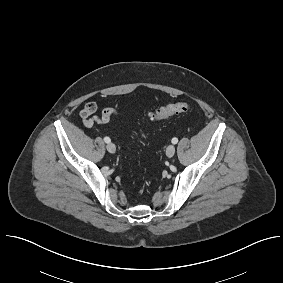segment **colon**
Returning <instances> with one entry per match:
<instances>
[{
    "label": "colon",
    "mask_w": 283,
    "mask_h": 283,
    "mask_svg": "<svg viewBox=\"0 0 283 283\" xmlns=\"http://www.w3.org/2000/svg\"><path fill=\"white\" fill-rule=\"evenodd\" d=\"M190 110V106L184 102L169 104L158 108L151 114V119L154 121L168 119L174 115L186 113Z\"/></svg>",
    "instance_id": "1"
}]
</instances>
